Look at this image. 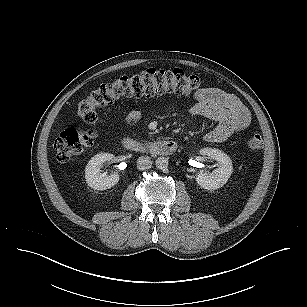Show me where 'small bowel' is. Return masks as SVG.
<instances>
[{"instance_id": "small-bowel-1", "label": "small bowel", "mask_w": 307, "mask_h": 307, "mask_svg": "<svg viewBox=\"0 0 307 307\" xmlns=\"http://www.w3.org/2000/svg\"><path fill=\"white\" fill-rule=\"evenodd\" d=\"M193 98L195 103L190 108L191 114L204 116L213 123V127L204 136L209 143L223 142L250 123L249 110L231 93L204 87L197 90ZM139 119V112L130 111L124 118V124L132 127Z\"/></svg>"}]
</instances>
